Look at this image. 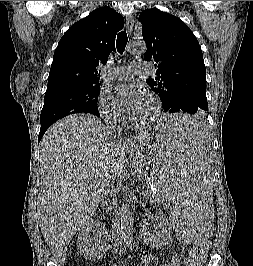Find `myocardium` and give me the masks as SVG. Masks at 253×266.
I'll list each match as a JSON object with an SVG mask.
<instances>
[{
	"label": "myocardium",
	"instance_id": "1",
	"mask_svg": "<svg viewBox=\"0 0 253 266\" xmlns=\"http://www.w3.org/2000/svg\"><path fill=\"white\" fill-rule=\"evenodd\" d=\"M147 98L150 99L151 102L153 103V112L147 119L136 121L138 125H143V126L150 125L154 123L161 114L162 105L159 98L152 93L147 94Z\"/></svg>",
	"mask_w": 253,
	"mask_h": 266
}]
</instances>
